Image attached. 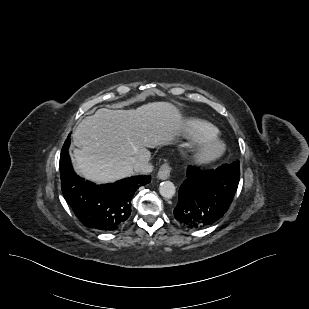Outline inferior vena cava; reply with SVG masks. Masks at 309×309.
Returning <instances> with one entry per match:
<instances>
[{"label": "inferior vena cava", "mask_w": 309, "mask_h": 309, "mask_svg": "<svg viewBox=\"0 0 309 309\" xmlns=\"http://www.w3.org/2000/svg\"><path fill=\"white\" fill-rule=\"evenodd\" d=\"M131 162L133 163L134 169L136 171H139V170H141L143 168L142 162H140L137 158H135V157L132 158Z\"/></svg>", "instance_id": "obj_1"}]
</instances>
